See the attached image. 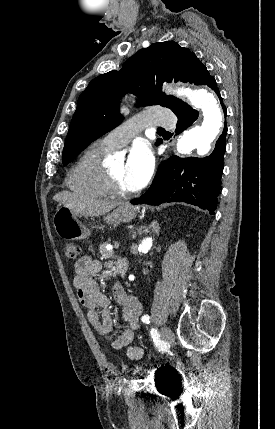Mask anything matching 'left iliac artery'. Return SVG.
I'll use <instances>...</instances> for the list:
<instances>
[{"label": "left iliac artery", "instance_id": "left-iliac-artery-1", "mask_svg": "<svg viewBox=\"0 0 275 429\" xmlns=\"http://www.w3.org/2000/svg\"><path fill=\"white\" fill-rule=\"evenodd\" d=\"M141 320H142L143 323H149L150 322V317L148 315H144L141 318Z\"/></svg>", "mask_w": 275, "mask_h": 429}]
</instances>
